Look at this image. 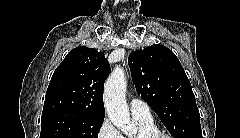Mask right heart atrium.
<instances>
[{
	"mask_svg": "<svg viewBox=\"0 0 240 138\" xmlns=\"http://www.w3.org/2000/svg\"><path fill=\"white\" fill-rule=\"evenodd\" d=\"M97 138H123L109 118H104L97 131Z\"/></svg>",
	"mask_w": 240,
	"mask_h": 138,
	"instance_id": "d8ad5b80",
	"label": "right heart atrium"
}]
</instances>
